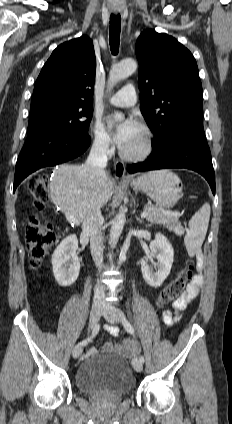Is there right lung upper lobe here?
<instances>
[{"label": "right lung upper lobe", "instance_id": "1", "mask_svg": "<svg viewBox=\"0 0 232 424\" xmlns=\"http://www.w3.org/2000/svg\"><path fill=\"white\" fill-rule=\"evenodd\" d=\"M96 58L88 36L59 45L36 81L30 108L49 103L92 107Z\"/></svg>", "mask_w": 232, "mask_h": 424}]
</instances>
